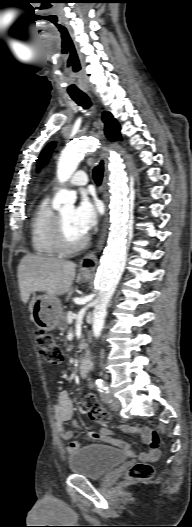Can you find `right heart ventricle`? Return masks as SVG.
I'll use <instances>...</instances> for the list:
<instances>
[{
	"mask_svg": "<svg viewBox=\"0 0 192 527\" xmlns=\"http://www.w3.org/2000/svg\"><path fill=\"white\" fill-rule=\"evenodd\" d=\"M55 215L49 200L44 199L31 217V245L35 254L39 256L51 257L60 253L54 238Z\"/></svg>",
	"mask_w": 192,
	"mask_h": 527,
	"instance_id": "right-heart-ventricle-1",
	"label": "right heart ventricle"
}]
</instances>
